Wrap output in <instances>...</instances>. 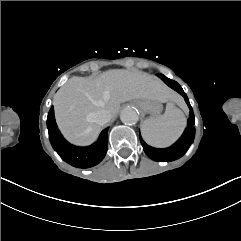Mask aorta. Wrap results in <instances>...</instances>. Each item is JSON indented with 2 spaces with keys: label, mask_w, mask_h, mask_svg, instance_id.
Listing matches in <instances>:
<instances>
[{
  "label": "aorta",
  "mask_w": 241,
  "mask_h": 241,
  "mask_svg": "<svg viewBox=\"0 0 241 241\" xmlns=\"http://www.w3.org/2000/svg\"><path fill=\"white\" fill-rule=\"evenodd\" d=\"M138 119V113L132 107H126L120 113V120L125 125L136 124L138 122Z\"/></svg>",
  "instance_id": "aorta-1"
}]
</instances>
